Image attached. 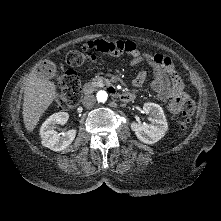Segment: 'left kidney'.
Segmentation results:
<instances>
[{"label": "left kidney", "instance_id": "5707ae66", "mask_svg": "<svg viewBox=\"0 0 221 221\" xmlns=\"http://www.w3.org/2000/svg\"><path fill=\"white\" fill-rule=\"evenodd\" d=\"M143 110L146 114H151V123H131V129L137 138L146 144H153L164 137L168 130L167 120L162 107L156 103H145Z\"/></svg>", "mask_w": 221, "mask_h": 221}]
</instances>
